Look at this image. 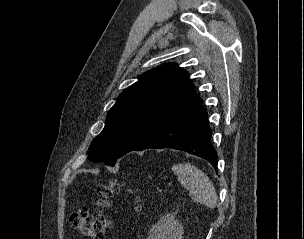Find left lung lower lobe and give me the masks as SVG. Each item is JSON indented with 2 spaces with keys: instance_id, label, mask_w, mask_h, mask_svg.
<instances>
[{
  "instance_id": "0a47b994",
  "label": "left lung lower lobe",
  "mask_w": 304,
  "mask_h": 239,
  "mask_svg": "<svg viewBox=\"0 0 304 239\" xmlns=\"http://www.w3.org/2000/svg\"><path fill=\"white\" fill-rule=\"evenodd\" d=\"M207 112L198 99L161 125L131 151L148 148L182 150L209 161L217 170V153L211 144Z\"/></svg>"
}]
</instances>
